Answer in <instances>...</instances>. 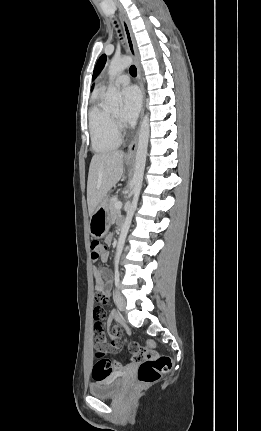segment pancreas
Instances as JSON below:
<instances>
[{"instance_id":"cf45deb5","label":"pancreas","mask_w":261,"mask_h":431,"mask_svg":"<svg viewBox=\"0 0 261 431\" xmlns=\"http://www.w3.org/2000/svg\"><path fill=\"white\" fill-rule=\"evenodd\" d=\"M117 202H119L118 199H117V196H114V197H112L110 199V202H109V213H110L111 219H115L120 214V210L115 207V204Z\"/></svg>"}]
</instances>
